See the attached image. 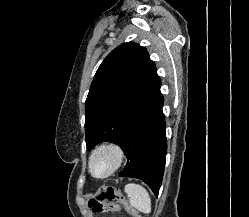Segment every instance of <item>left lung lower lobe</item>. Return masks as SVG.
Returning <instances> with one entry per match:
<instances>
[{
  "instance_id": "left-lung-lower-lobe-1",
  "label": "left lung lower lobe",
  "mask_w": 249,
  "mask_h": 217,
  "mask_svg": "<svg viewBox=\"0 0 249 217\" xmlns=\"http://www.w3.org/2000/svg\"><path fill=\"white\" fill-rule=\"evenodd\" d=\"M160 85L159 79L129 112L121 126L118 143L128 157L126 167L119 175L142 180L156 196L161 186L167 152L162 112L164 100Z\"/></svg>"
}]
</instances>
